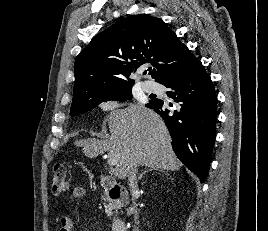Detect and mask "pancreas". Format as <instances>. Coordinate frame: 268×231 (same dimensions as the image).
I'll return each instance as SVG.
<instances>
[{
    "label": "pancreas",
    "instance_id": "cf45deb5",
    "mask_svg": "<svg viewBox=\"0 0 268 231\" xmlns=\"http://www.w3.org/2000/svg\"><path fill=\"white\" fill-rule=\"evenodd\" d=\"M104 206H105V212L108 216H111L112 215V207L113 205L112 204H106L104 203Z\"/></svg>",
    "mask_w": 268,
    "mask_h": 231
}]
</instances>
